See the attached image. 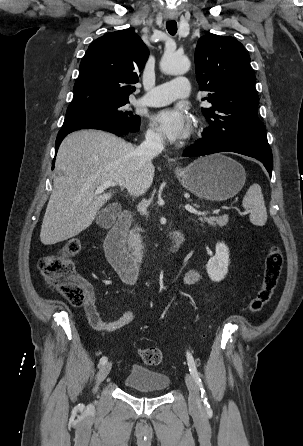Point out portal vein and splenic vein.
<instances>
[{"instance_id": "1", "label": "portal vein and splenic vein", "mask_w": 303, "mask_h": 446, "mask_svg": "<svg viewBox=\"0 0 303 446\" xmlns=\"http://www.w3.org/2000/svg\"><path fill=\"white\" fill-rule=\"evenodd\" d=\"M114 186H116V183H115V182H113V181H104V182H102L101 185L96 189L95 193H96V194H99V193L103 192L105 189H107V188H109V187H114ZM185 209H186L188 212L193 213V214H197V215H206V214H207L206 212H200V211H197L195 208H193V207H192L191 205H189V204H186V205H185Z\"/></svg>"}]
</instances>
